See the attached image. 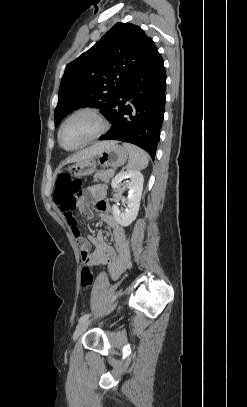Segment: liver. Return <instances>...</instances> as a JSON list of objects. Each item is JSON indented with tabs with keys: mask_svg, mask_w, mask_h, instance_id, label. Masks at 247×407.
<instances>
[{
	"mask_svg": "<svg viewBox=\"0 0 247 407\" xmlns=\"http://www.w3.org/2000/svg\"><path fill=\"white\" fill-rule=\"evenodd\" d=\"M112 143L113 142H111V141H103V142L95 143L94 145L74 154L72 157H70L69 159L66 160V163H75V162L84 160L86 158L93 157V156L101 153L108 145H110Z\"/></svg>",
	"mask_w": 247,
	"mask_h": 407,
	"instance_id": "obj_1",
	"label": "liver"
}]
</instances>
